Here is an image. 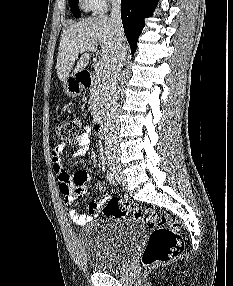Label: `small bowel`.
Here are the masks:
<instances>
[{
	"instance_id": "obj_1",
	"label": "small bowel",
	"mask_w": 233,
	"mask_h": 286,
	"mask_svg": "<svg viewBox=\"0 0 233 286\" xmlns=\"http://www.w3.org/2000/svg\"><path fill=\"white\" fill-rule=\"evenodd\" d=\"M92 128L87 126L85 131L79 135L74 142L76 148L75 155L78 157L86 156L91 150ZM67 145L64 143L57 144L51 154V164L55 174L60 192L63 194V203L67 208L68 217L77 225L84 226L92 222L97 217L98 204L90 203L87 205L85 213H78L71 208V205L79 198L83 197L87 192L86 180L87 174L79 172L75 176H71L62 164V155ZM109 196L105 195L104 199Z\"/></svg>"
}]
</instances>
